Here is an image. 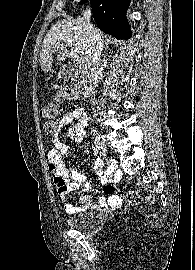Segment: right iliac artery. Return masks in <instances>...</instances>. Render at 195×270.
I'll return each mask as SVG.
<instances>
[{
    "label": "right iliac artery",
    "mask_w": 195,
    "mask_h": 270,
    "mask_svg": "<svg viewBox=\"0 0 195 270\" xmlns=\"http://www.w3.org/2000/svg\"><path fill=\"white\" fill-rule=\"evenodd\" d=\"M94 153H97V147H93Z\"/></svg>",
    "instance_id": "obj_1"
}]
</instances>
